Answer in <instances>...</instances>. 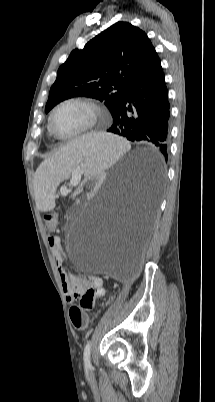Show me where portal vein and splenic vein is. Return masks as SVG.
<instances>
[{"label":"portal vein and splenic vein","mask_w":215,"mask_h":402,"mask_svg":"<svg viewBox=\"0 0 215 402\" xmlns=\"http://www.w3.org/2000/svg\"><path fill=\"white\" fill-rule=\"evenodd\" d=\"M80 179H78V177L76 178V180L73 181V185H77L79 183Z\"/></svg>","instance_id":"1"}]
</instances>
